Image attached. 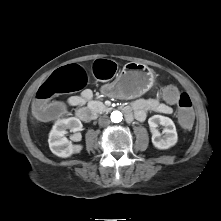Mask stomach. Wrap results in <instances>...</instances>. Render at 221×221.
<instances>
[{
	"label": "stomach",
	"mask_w": 221,
	"mask_h": 221,
	"mask_svg": "<svg viewBox=\"0 0 221 221\" xmlns=\"http://www.w3.org/2000/svg\"><path fill=\"white\" fill-rule=\"evenodd\" d=\"M155 75L148 66L129 62L110 84L114 97L131 99L138 97L154 86Z\"/></svg>",
	"instance_id": "obj_1"
}]
</instances>
